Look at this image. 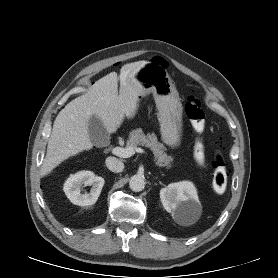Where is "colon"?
<instances>
[{
    "instance_id": "obj_1",
    "label": "colon",
    "mask_w": 278,
    "mask_h": 278,
    "mask_svg": "<svg viewBox=\"0 0 278 278\" xmlns=\"http://www.w3.org/2000/svg\"><path fill=\"white\" fill-rule=\"evenodd\" d=\"M185 113L189 118L194 130L201 134L205 129V112L199 99L190 96L185 105ZM194 155L197 160H203L205 156V146L198 137L194 146ZM212 189L216 194H222L227 186V169L225 161L220 153L215 155L212 162Z\"/></svg>"
}]
</instances>
